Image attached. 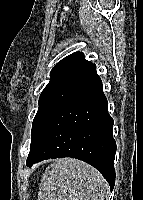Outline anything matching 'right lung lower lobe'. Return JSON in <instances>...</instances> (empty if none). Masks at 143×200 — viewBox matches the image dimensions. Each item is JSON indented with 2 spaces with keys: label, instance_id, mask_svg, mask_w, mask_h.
<instances>
[{
  "label": "right lung lower lobe",
  "instance_id": "98d812e1",
  "mask_svg": "<svg viewBox=\"0 0 143 200\" xmlns=\"http://www.w3.org/2000/svg\"><path fill=\"white\" fill-rule=\"evenodd\" d=\"M113 119L95 64L65 78L48 95L33 120L27 166L72 157L94 166L115 184Z\"/></svg>",
  "mask_w": 143,
  "mask_h": 200
}]
</instances>
